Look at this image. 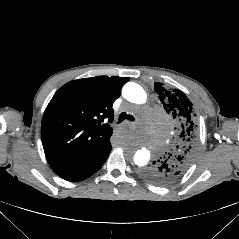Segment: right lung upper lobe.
<instances>
[{"label":"right lung upper lobe","mask_w":239,"mask_h":239,"mask_svg":"<svg viewBox=\"0 0 239 239\" xmlns=\"http://www.w3.org/2000/svg\"><path fill=\"white\" fill-rule=\"evenodd\" d=\"M129 77L97 76L73 80L49 102L42 119L43 149L58 174L86 159L109 140L113 102Z\"/></svg>","instance_id":"1"}]
</instances>
